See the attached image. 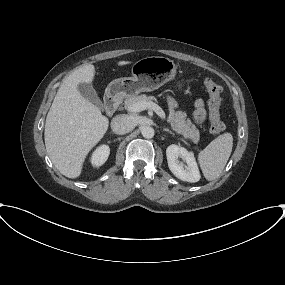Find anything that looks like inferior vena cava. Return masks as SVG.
<instances>
[{
  "instance_id": "602c4592",
  "label": "inferior vena cava",
  "mask_w": 285,
  "mask_h": 285,
  "mask_svg": "<svg viewBox=\"0 0 285 285\" xmlns=\"http://www.w3.org/2000/svg\"><path fill=\"white\" fill-rule=\"evenodd\" d=\"M135 124L128 115H117L111 121V129L115 134L123 135L133 130Z\"/></svg>"
}]
</instances>
